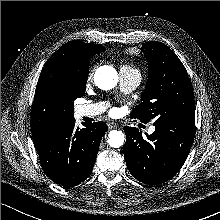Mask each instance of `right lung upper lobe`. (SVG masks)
I'll return each mask as SVG.
<instances>
[{"mask_svg":"<svg viewBox=\"0 0 220 220\" xmlns=\"http://www.w3.org/2000/svg\"><path fill=\"white\" fill-rule=\"evenodd\" d=\"M104 50L101 45L70 41L49 58L35 90L32 108L33 138L74 119L62 93L63 79L69 72L80 71L96 53Z\"/></svg>","mask_w":220,"mask_h":220,"instance_id":"obj_1","label":"right lung upper lobe"}]
</instances>
